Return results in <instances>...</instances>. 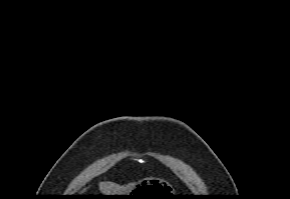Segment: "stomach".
Listing matches in <instances>:
<instances>
[{
  "label": "stomach",
  "mask_w": 290,
  "mask_h": 199,
  "mask_svg": "<svg viewBox=\"0 0 290 199\" xmlns=\"http://www.w3.org/2000/svg\"><path fill=\"white\" fill-rule=\"evenodd\" d=\"M171 191L167 189L162 182L156 180H147L141 182L137 187L128 191L125 194H114V195H130V196H120L123 199H140V198H151L155 197L152 195H174L170 194ZM145 195V196H138Z\"/></svg>",
  "instance_id": "stomach-1"
}]
</instances>
